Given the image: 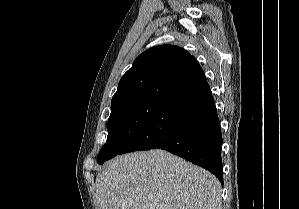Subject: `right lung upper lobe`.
<instances>
[{
	"label": "right lung upper lobe",
	"instance_id": "cb5924a9",
	"mask_svg": "<svg viewBox=\"0 0 299 209\" xmlns=\"http://www.w3.org/2000/svg\"><path fill=\"white\" fill-rule=\"evenodd\" d=\"M201 74V66L186 50L174 45L150 48L140 54L122 76L111 108L145 101L163 103Z\"/></svg>",
	"mask_w": 299,
	"mask_h": 209
}]
</instances>
